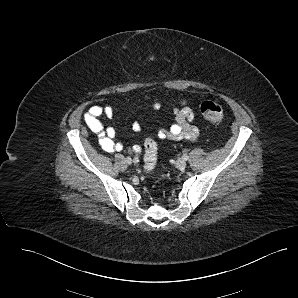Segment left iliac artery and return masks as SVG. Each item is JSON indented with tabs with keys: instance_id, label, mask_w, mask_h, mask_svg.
Segmentation results:
<instances>
[{
	"instance_id": "left-iliac-artery-1",
	"label": "left iliac artery",
	"mask_w": 298,
	"mask_h": 298,
	"mask_svg": "<svg viewBox=\"0 0 298 298\" xmlns=\"http://www.w3.org/2000/svg\"><path fill=\"white\" fill-rule=\"evenodd\" d=\"M182 159H183V160H188L189 157H188L187 155H183V156H182Z\"/></svg>"
}]
</instances>
